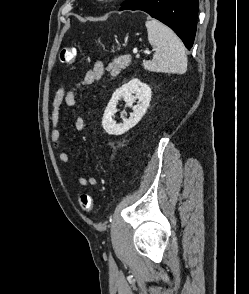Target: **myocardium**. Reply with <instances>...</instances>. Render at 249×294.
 Returning a JSON list of instances; mask_svg holds the SVG:
<instances>
[{
	"instance_id": "obj_1",
	"label": "myocardium",
	"mask_w": 249,
	"mask_h": 294,
	"mask_svg": "<svg viewBox=\"0 0 249 294\" xmlns=\"http://www.w3.org/2000/svg\"><path fill=\"white\" fill-rule=\"evenodd\" d=\"M98 1H101V2H107V1H111V0H98Z\"/></svg>"
}]
</instances>
